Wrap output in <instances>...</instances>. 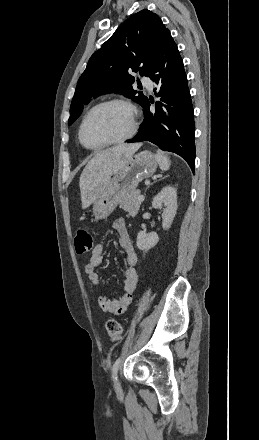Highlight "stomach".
<instances>
[{
    "instance_id": "stomach-1",
    "label": "stomach",
    "mask_w": 259,
    "mask_h": 440,
    "mask_svg": "<svg viewBox=\"0 0 259 440\" xmlns=\"http://www.w3.org/2000/svg\"><path fill=\"white\" fill-rule=\"evenodd\" d=\"M158 161L150 151H142L132 156L126 165L110 179L107 187L94 201L93 215L96 220L107 218L120 201L133 192L138 184L151 177L157 169Z\"/></svg>"
}]
</instances>
